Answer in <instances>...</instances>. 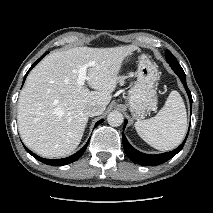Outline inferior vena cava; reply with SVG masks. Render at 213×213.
Wrapping results in <instances>:
<instances>
[{"label": "inferior vena cava", "instance_id": "obj_1", "mask_svg": "<svg viewBox=\"0 0 213 213\" xmlns=\"http://www.w3.org/2000/svg\"><path fill=\"white\" fill-rule=\"evenodd\" d=\"M103 111L104 109L95 103H91L86 107V113L90 117L100 115L103 113Z\"/></svg>", "mask_w": 213, "mask_h": 213}]
</instances>
